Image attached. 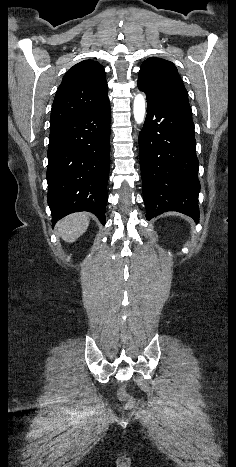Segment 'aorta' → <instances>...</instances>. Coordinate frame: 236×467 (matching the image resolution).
<instances>
[{
  "label": "aorta",
  "mask_w": 236,
  "mask_h": 467,
  "mask_svg": "<svg viewBox=\"0 0 236 467\" xmlns=\"http://www.w3.org/2000/svg\"><path fill=\"white\" fill-rule=\"evenodd\" d=\"M146 103L143 95L138 94L135 96L133 103V114L137 124H142L145 120Z\"/></svg>",
  "instance_id": "1"
}]
</instances>
